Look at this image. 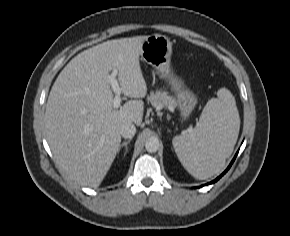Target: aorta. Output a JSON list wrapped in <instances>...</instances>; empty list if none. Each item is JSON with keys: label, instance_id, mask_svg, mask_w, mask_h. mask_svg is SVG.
Masks as SVG:
<instances>
[{"label": "aorta", "instance_id": "aorta-1", "mask_svg": "<svg viewBox=\"0 0 290 236\" xmlns=\"http://www.w3.org/2000/svg\"><path fill=\"white\" fill-rule=\"evenodd\" d=\"M145 148L149 153H155L159 149V140L155 137L147 139Z\"/></svg>", "mask_w": 290, "mask_h": 236}]
</instances>
